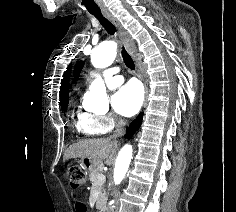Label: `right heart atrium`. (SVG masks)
<instances>
[{
    "label": "right heart atrium",
    "mask_w": 236,
    "mask_h": 212,
    "mask_svg": "<svg viewBox=\"0 0 236 212\" xmlns=\"http://www.w3.org/2000/svg\"><path fill=\"white\" fill-rule=\"evenodd\" d=\"M95 120L100 125L102 133L109 132L117 123L116 118L110 113L95 116Z\"/></svg>",
    "instance_id": "right-heart-atrium-1"
}]
</instances>
